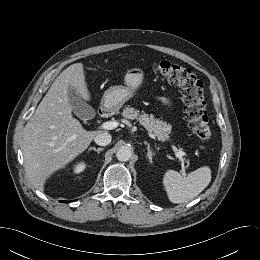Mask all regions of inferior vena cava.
<instances>
[{"instance_id": "602c4592", "label": "inferior vena cava", "mask_w": 260, "mask_h": 260, "mask_svg": "<svg viewBox=\"0 0 260 260\" xmlns=\"http://www.w3.org/2000/svg\"><path fill=\"white\" fill-rule=\"evenodd\" d=\"M112 136L108 132H99L95 138L94 141L99 146H106L111 142Z\"/></svg>"}]
</instances>
